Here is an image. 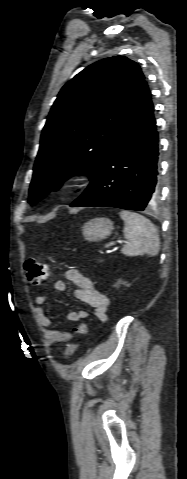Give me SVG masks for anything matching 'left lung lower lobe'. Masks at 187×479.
<instances>
[{
    "instance_id": "1",
    "label": "left lung lower lobe",
    "mask_w": 187,
    "mask_h": 479,
    "mask_svg": "<svg viewBox=\"0 0 187 479\" xmlns=\"http://www.w3.org/2000/svg\"><path fill=\"white\" fill-rule=\"evenodd\" d=\"M158 132L144 79L113 148L71 207L143 211L158 193Z\"/></svg>"
}]
</instances>
